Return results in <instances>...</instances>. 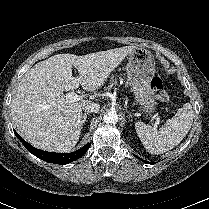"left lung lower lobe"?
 <instances>
[{"instance_id":"0a47b994","label":"left lung lower lobe","mask_w":209,"mask_h":209,"mask_svg":"<svg viewBox=\"0 0 209 209\" xmlns=\"http://www.w3.org/2000/svg\"><path fill=\"white\" fill-rule=\"evenodd\" d=\"M137 157V156H136ZM142 160V159H141ZM143 162H145V163H149V162H146L145 160H142Z\"/></svg>"}]
</instances>
